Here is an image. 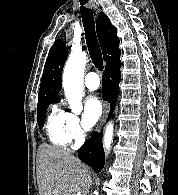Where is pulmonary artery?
<instances>
[{"label":"pulmonary artery","instance_id":"e3ab8cb5","mask_svg":"<svg viewBox=\"0 0 178 195\" xmlns=\"http://www.w3.org/2000/svg\"><path fill=\"white\" fill-rule=\"evenodd\" d=\"M84 84L89 90H96L100 86V78L95 72H90L85 76Z\"/></svg>","mask_w":178,"mask_h":195}]
</instances>
